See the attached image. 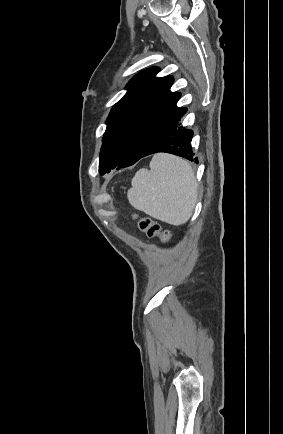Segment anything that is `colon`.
Listing matches in <instances>:
<instances>
[{"label":"colon","instance_id":"colon-1","mask_svg":"<svg viewBox=\"0 0 283 434\" xmlns=\"http://www.w3.org/2000/svg\"><path fill=\"white\" fill-rule=\"evenodd\" d=\"M138 224L140 230L149 237H158L163 242L171 239L170 231L162 229L159 223L149 217L140 218Z\"/></svg>","mask_w":283,"mask_h":434}]
</instances>
